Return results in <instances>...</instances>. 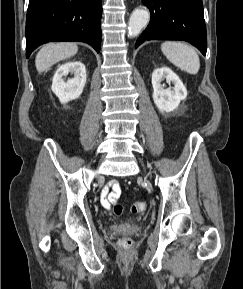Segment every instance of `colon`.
I'll return each instance as SVG.
<instances>
[{"mask_svg": "<svg viewBox=\"0 0 243 289\" xmlns=\"http://www.w3.org/2000/svg\"><path fill=\"white\" fill-rule=\"evenodd\" d=\"M146 209V203L143 201L135 202L132 207L131 211L133 213H142ZM113 211L117 215H121L123 213V206L120 203H114ZM121 246L124 248H128L131 245V240L129 238H123L120 242Z\"/></svg>", "mask_w": 243, "mask_h": 289, "instance_id": "obj_1", "label": "colon"}]
</instances>
